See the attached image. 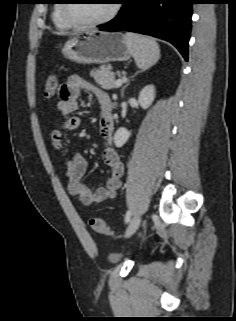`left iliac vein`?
Returning a JSON list of instances; mask_svg holds the SVG:
<instances>
[{"instance_id": "4c4485c4", "label": "left iliac vein", "mask_w": 236, "mask_h": 321, "mask_svg": "<svg viewBox=\"0 0 236 321\" xmlns=\"http://www.w3.org/2000/svg\"><path fill=\"white\" fill-rule=\"evenodd\" d=\"M141 222V215L138 213L136 214L130 221L126 232H125V237H130L139 227Z\"/></svg>"}]
</instances>
